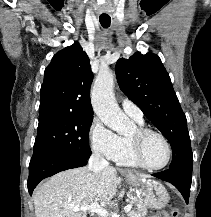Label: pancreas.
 Wrapping results in <instances>:
<instances>
[{
    "mask_svg": "<svg viewBox=\"0 0 211 217\" xmlns=\"http://www.w3.org/2000/svg\"><path fill=\"white\" fill-rule=\"evenodd\" d=\"M131 203L135 206L128 212V217H145L147 213V207L144 204L142 198H133Z\"/></svg>",
    "mask_w": 211,
    "mask_h": 217,
    "instance_id": "1",
    "label": "pancreas"
}]
</instances>
